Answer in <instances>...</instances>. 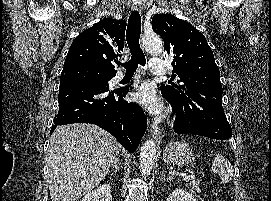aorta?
<instances>
[{
	"instance_id": "obj_1",
	"label": "aorta",
	"mask_w": 271,
	"mask_h": 201,
	"mask_svg": "<svg viewBox=\"0 0 271 201\" xmlns=\"http://www.w3.org/2000/svg\"><path fill=\"white\" fill-rule=\"evenodd\" d=\"M143 48L150 53H161L163 42L155 33H145L142 37ZM156 158V144L152 139L147 140L140 150V171L143 176L150 175Z\"/></svg>"
}]
</instances>
